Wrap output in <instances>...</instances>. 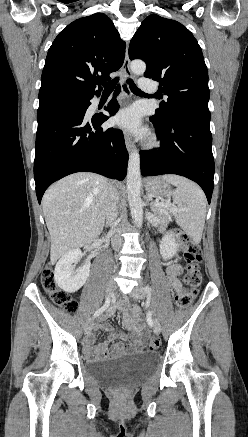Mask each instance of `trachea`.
<instances>
[{
    "instance_id": "1",
    "label": "trachea",
    "mask_w": 248,
    "mask_h": 437,
    "mask_svg": "<svg viewBox=\"0 0 248 437\" xmlns=\"http://www.w3.org/2000/svg\"><path fill=\"white\" fill-rule=\"evenodd\" d=\"M119 80V77H116L113 81L111 82H105L102 83L103 87H104V92L105 93H111L116 85V82ZM129 81V85H130V89L132 92L136 93V94H144V92H142L136 85L135 83L131 80L128 79Z\"/></svg>"
}]
</instances>
